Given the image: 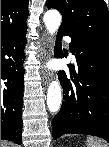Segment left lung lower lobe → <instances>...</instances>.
I'll use <instances>...</instances> for the list:
<instances>
[{"instance_id": "0a47b994", "label": "left lung lower lobe", "mask_w": 109, "mask_h": 147, "mask_svg": "<svg viewBox=\"0 0 109 147\" xmlns=\"http://www.w3.org/2000/svg\"><path fill=\"white\" fill-rule=\"evenodd\" d=\"M62 35L72 38L71 51L76 54L77 71L70 67L58 73L63 88V103L52 124L57 139L67 133L98 136L109 142V47L60 27ZM55 56L62 58L56 49Z\"/></svg>"}]
</instances>
